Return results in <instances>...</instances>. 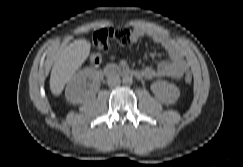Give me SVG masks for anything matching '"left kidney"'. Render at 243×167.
I'll return each mask as SVG.
<instances>
[{"mask_svg":"<svg viewBox=\"0 0 243 167\" xmlns=\"http://www.w3.org/2000/svg\"><path fill=\"white\" fill-rule=\"evenodd\" d=\"M151 90L157 100L167 105L175 103L180 96L179 88L167 81H157L151 84Z\"/></svg>","mask_w":243,"mask_h":167,"instance_id":"obj_1","label":"left kidney"}]
</instances>
